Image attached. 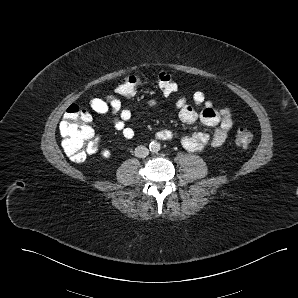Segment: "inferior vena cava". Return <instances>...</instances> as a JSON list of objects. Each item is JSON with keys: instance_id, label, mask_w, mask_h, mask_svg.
<instances>
[{"instance_id": "602c4592", "label": "inferior vena cava", "mask_w": 298, "mask_h": 298, "mask_svg": "<svg viewBox=\"0 0 298 298\" xmlns=\"http://www.w3.org/2000/svg\"><path fill=\"white\" fill-rule=\"evenodd\" d=\"M149 154V149L143 145L137 146L135 148L136 157H146Z\"/></svg>"}]
</instances>
